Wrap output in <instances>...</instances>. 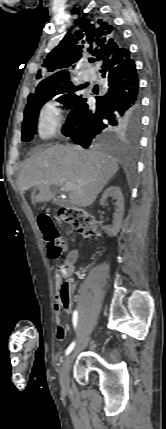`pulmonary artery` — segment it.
Wrapping results in <instances>:
<instances>
[{"instance_id": "pulmonary-artery-1", "label": "pulmonary artery", "mask_w": 166, "mask_h": 429, "mask_svg": "<svg viewBox=\"0 0 166 429\" xmlns=\"http://www.w3.org/2000/svg\"><path fill=\"white\" fill-rule=\"evenodd\" d=\"M85 74H86V80H90V79H93L95 77V73L91 69H87L85 71Z\"/></svg>"}]
</instances>
